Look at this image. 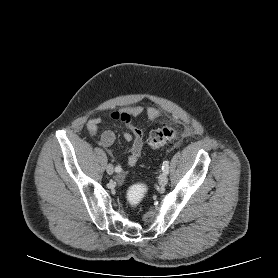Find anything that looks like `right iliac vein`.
I'll return each mask as SVG.
<instances>
[{"instance_id": "right-iliac-vein-1", "label": "right iliac vein", "mask_w": 278, "mask_h": 278, "mask_svg": "<svg viewBox=\"0 0 278 278\" xmlns=\"http://www.w3.org/2000/svg\"><path fill=\"white\" fill-rule=\"evenodd\" d=\"M106 171H107V173H108L109 175L113 174V172H114L113 166L109 164V165L106 167Z\"/></svg>"}]
</instances>
